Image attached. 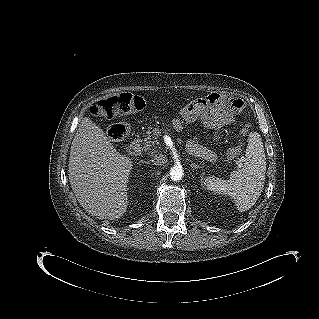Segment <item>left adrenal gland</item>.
<instances>
[{
    "instance_id": "obj_1",
    "label": "left adrenal gland",
    "mask_w": 319,
    "mask_h": 319,
    "mask_svg": "<svg viewBox=\"0 0 319 319\" xmlns=\"http://www.w3.org/2000/svg\"><path fill=\"white\" fill-rule=\"evenodd\" d=\"M190 166H191L192 168H195V169H198V168L200 167L199 165H196V164H194V163H191Z\"/></svg>"
}]
</instances>
